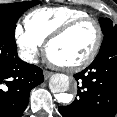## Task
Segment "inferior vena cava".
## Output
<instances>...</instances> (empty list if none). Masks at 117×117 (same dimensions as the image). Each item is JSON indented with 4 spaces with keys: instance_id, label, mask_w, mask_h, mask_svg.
<instances>
[{
    "instance_id": "1",
    "label": "inferior vena cava",
    "mask_w": 117,
    "mask_h": 117,
    "mask_svg": "<svg viewBox=\"0 0 117 117\" xmlns=\"http://www.w3.org/2000/svg\"><path fill=\"white\" fill-rule=\"evenodd\" d=\"M20 56L23 58V54H21ZM29 60H30V62H34V63H37L38 62V60H35L32 57H30Z\"/></svg>"
}]
</instances>
